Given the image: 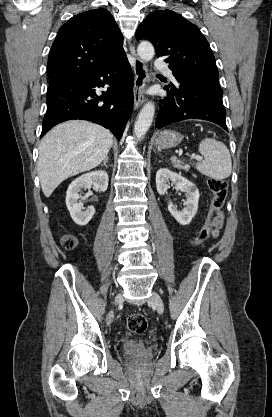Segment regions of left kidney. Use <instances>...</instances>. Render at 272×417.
Masks as SVG:
<instances>
[{"label": "left kidney", "mask_w": 272, "mask_h": 417, "mask_svg": "<svg viewBox=\"0 0 272 417\" xmlns=\"http://www.w3.org/2000/svg\"><path fill=\"white\" fill-rule=\"evenodd\" d=\"M170 181L175 184L176 189L185 192L186 201L184 202L185 208L182 211H179L172 202L168 203V210L179 224L188 225L197 213L199 190L195 184L181 174L161 168L156 173V188L160 195L167 193L168 188H170Z\"/></svg>", "instance_id": "1"}]
</instances>
